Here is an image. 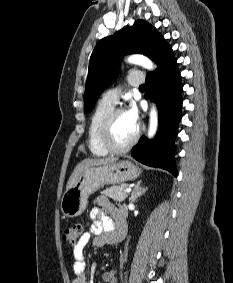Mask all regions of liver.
<instances>
[{"label":"liver","mask_w":233,"mask_h":283,"mask_svg":"<svg viewBox=\"0 0 233 283\" xmlns=\"http://www.w3.org/2000/svg\"><path fill=\"white\" fill-rule=\"evenodd\" d=\"M118 161V158L115 157H108V158H101V159H97V158H87L82 160L74 169L73 173L71 174L67 186H66V190L72 188L75 183L77 182L80 174L83 172V170H85L86 168L90 167V166H101V165H106V164H110V163H114Z\"/></svg>","instance_id":"6515ba94"}]
</instances>
